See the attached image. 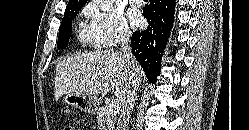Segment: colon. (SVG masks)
<instances>
[{
	"label": "colon",
	"mask_w": 249,
	"mask_h": 130,
	"mask_svg": "<svg viewBox=\"0 0 249 130\" xmlns=\"http://www.w3.org/2000/svg\"><path fill=\"white\" fill-rule=\"evenodd\" d=\"M63 130H77L76 126L73 123H67L64 127Z\"/></svg>",
	"instance_id": "5ec220e1"
}]
</instances>
